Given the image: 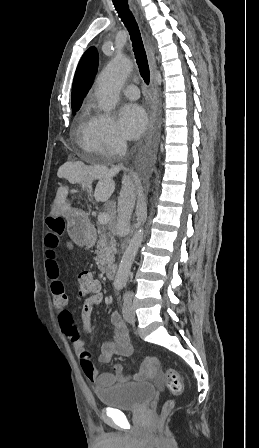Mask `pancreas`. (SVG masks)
Masks as SVG:
<instances>
[{
    "label": "pancreas",
    "mask_w": 259,
    "mask_h": 448,
    "mask_svg": "<svg viewBox=\"0 0 259 448\" xmlns=\"http://www.w3.org/2000/svg\"><path fill=\"white\" fill-rule=\"evenodd\" d=\"M99 240L97 242V256L95 258V262L103 272L104 268H106V264H112L114 262L115 254H116V240H114V236H112L111 232H106V230H98Z\"/></svg>",
    "instance_id": "1"
}]
</instances>
